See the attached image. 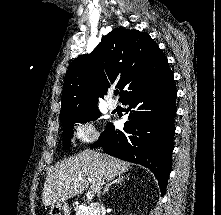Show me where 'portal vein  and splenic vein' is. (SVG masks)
<instances>
[{"mask_svg": "<svg viewBox=\"0 0 221 215\" xmlns=\"http://www.w3.org/2000/svg\"><path fill=\"white\" fill-rule=\"evenodd\" d=\"M94 194H95L94 191H88V192H87V198H88L89 200L92 199L93 196H94Z\"/></svg>", "mask_w": 221, "mask_h": 215, "instance_id": "1", "label": "portal vein and splenic vein"}]
</instances>
